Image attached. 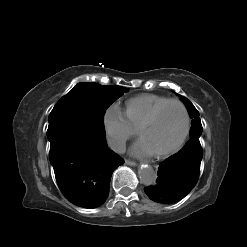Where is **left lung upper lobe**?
<instances>
[{
	"label": "left lung upper lobe",
	"mask_w": 247,
	"mask_h": 247,
	"mask_svg": "<svg viewBox=\"0 0 247 247\" xmlns=\"http://www.w3.org/2000/svg\"><path fill=\"white\" fill-rule=\"evenodd\" d=\"M183 101L188 108L190 117L192 118V125L190 129L191 139H199V137L202 134V125L201 120L199 118V112L187 98H183Z\"/></svg>",
	"instance_id": "left-lung-upper-lobe-1"
}]
</instances>
